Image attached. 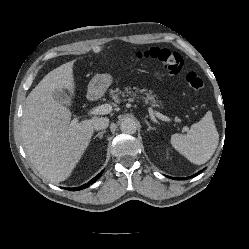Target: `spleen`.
<instances>
[{
    "label": "spleen",
    "mask_w": 249,
    "mask_h": 249,
    "mask_svg": "<svg viewBox=\"0 0 249 249\" xmlns=\"http://www.w3.org/2000/svg\"><path fill=\"white\" fill-rule=\"evenodd\" d=\"M219 142L212 112L208 111L197 123L193 124L187 134L171 136L172 146L190 162L201 165L214 154Z\"/></svg>",
    "instance_id": "3e777b00"
}]
</instances>
